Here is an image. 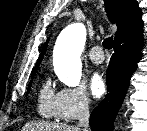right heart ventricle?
<instances>
[{
	"mask_svg": "<svg viewBox=\"0 0 147 131\" xmlns=\"http://www.w3.org/2000/svg\"><path fill=\"white\" fill-rule=\"evenodd\" d=\"M56 94L51 85L50 80H45L39 90L38 94V113L45 118L55 117L54 105Z\"/></svg>",
	"mask_w": 147,
	"mask_h": 131,
	"instance_id": "1",
	"label": "right heart ventricle"
}]
</instances>
